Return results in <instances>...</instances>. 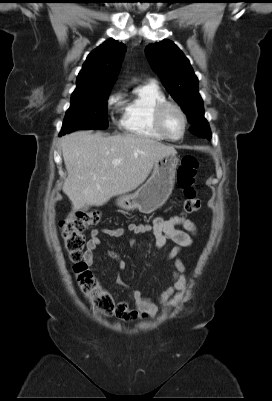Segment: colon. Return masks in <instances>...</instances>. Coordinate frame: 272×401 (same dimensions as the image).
Returning <instances> with one entry per match:
<instances>
[{
    "instance_id": "colon-1",
    "label": "colon",
    "mask_w": 272,
    "mask_h": 401,
    "mask_svg": "<svg viewBox=\"0 0 272 401\" xmlns=\"http://www.w3.org/2000/svg\"><path fill=\"white\" fill-rule=\"evenodd\" d=\"M197 167V158L187 155L183 157L177 170V183L185 194L183 202L185 213H194L201 208V200L194 189ZM100 221L101 214L97 211H78L74 219L62 223V234L67 254L75 263L74 272L82 292L103 314L118 315L119 305H116L112 295L100 286L83 261L86 243L84 232Z\"/></svg>"
}]
</instances>
